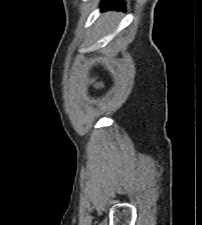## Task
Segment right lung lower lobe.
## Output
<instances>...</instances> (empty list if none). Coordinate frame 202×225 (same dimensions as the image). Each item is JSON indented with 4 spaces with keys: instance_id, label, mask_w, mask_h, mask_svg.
Returning <instances> with one entry per match:
<instances>
[{
    "instance_id": "1",
    "label": "right lung lower lobe",
    "mask_w": 202,
    "mask_h": 225,
    "mask_svg": "<svg viewBox=\"0 0 202 225\" xmlns=\"http://www.w3.org/2000/svg\"><path fill=\"white\" fill-rule=\"evenodd\" d=\"M102 9H125V3L122 0H103L102 1Z\"/></svg>"
}]
</instances>
